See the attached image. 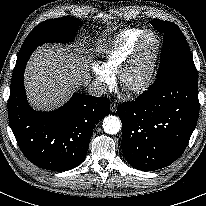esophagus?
I'll use <instances>...</instances> for the list:
<instances>
[{
    "instance_id": "34e87169",
    "label": "esophagus",
    "mask_w": 206,
    "mask_h": 206,
    "mask_svg": "<svg viewBox=\"0 0 206 206\" xmlns=\"http://www.w3.org/2000/svg\"><path fill=\"white\" fill-rule=\"evenodd\" d=\"M110 110H111V112L115 113L117 111V105L115 103H112L110 105Z\"/></svg>"
}]
</instances>
